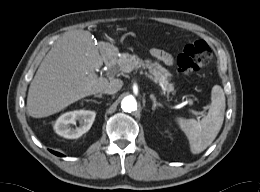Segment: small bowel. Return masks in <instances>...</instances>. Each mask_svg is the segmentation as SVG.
Segmentation results:
<instances>
[{
  "label": "small bowel",
  "mask_w": 260,
  "mask_h": 192,
  "mask_svg": "<svg viewBox=\"0 0 260 192\" xmlns=\"http://www.w3.org/2000/svg\"><path fill=\"white\" fill-rule=\"evenodd\" d=\"M152 56L159 62L165 64V65H172L173 64V57L166 51L158 49V48H153L151 50Z\"/></svg>",
  "instance_id": "c3829d8e"
}]
</instances>
